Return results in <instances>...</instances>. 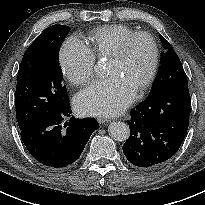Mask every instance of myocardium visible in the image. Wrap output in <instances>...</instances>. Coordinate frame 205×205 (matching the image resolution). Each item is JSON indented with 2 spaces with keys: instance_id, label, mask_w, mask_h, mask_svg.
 Masks as SVG:
<instances>
[{
  "instance_id": "f54148a6",
  "label": "myocardium",
  "mask_w": 205,
  "mask_h": 205,
  "mask_svg": "<svg viewBox=\"0 0 205 205\" xmlns=\"http://www.w3.org/2000/svg\"><path fill=\"white\" fill-rule=\"evenodd\" d=\"M141 37L146 38L151 45L152 62H151V67H150V70H149V73L146 79L142 82V84L137 89L138 92H143L145 89H147L152 84L157 74L160 52H159L157 41L154 38V36H152L148 32H135L124 39V41L122 42L118 50L110 58L113 61L122 60L126 56L131 43Z\"/></svg>"
}]
</instances>
